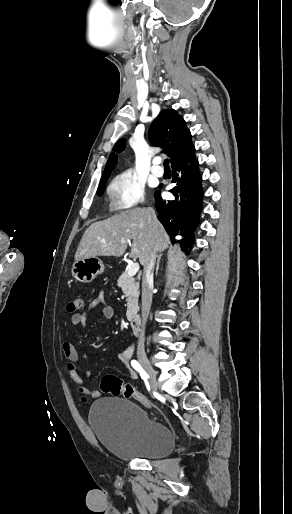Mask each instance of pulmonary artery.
I'll return each mask as SVG.
<instances>
[{"label": "pulmonary artery", "mask_w": 292, "mask_h": 514, "mask_svg": "<svg viewBox=\"0 0 292 514\" xmlns=\"http://www.w3.org/2000/svg\"><path fill=\"white\" fill-rule=\"evenodd\" d=\"M153 174L155 176H158V177H161L163 175V173L161 171H158V170H153Z\"/></svg>", "instance_id": "1"}]
</instances>
